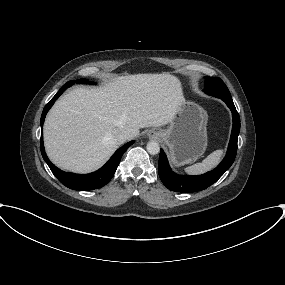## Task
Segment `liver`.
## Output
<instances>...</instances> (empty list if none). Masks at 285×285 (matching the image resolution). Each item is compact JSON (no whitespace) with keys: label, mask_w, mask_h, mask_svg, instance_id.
Segmentation results:
<instances>
[{"label":"liver","mask_w":285,"mask_h":285,"mask_svg":"<svg viewBox=\"0 0 285 285\" xmlns=\"http://www.w3.org/2000/svg\"><path fill=\"white\" fill-rule=\"evenodd\" d=\"M182 99L179 80L169 73L118 76L102 88L73 89L46 117L47 155L61 169L94 171L118 148L115 132L127 131L130 140L141 128L166 125Z\"/></svg>","instance_id":"obj_1"}]
</instances>
